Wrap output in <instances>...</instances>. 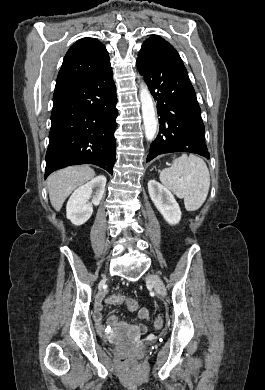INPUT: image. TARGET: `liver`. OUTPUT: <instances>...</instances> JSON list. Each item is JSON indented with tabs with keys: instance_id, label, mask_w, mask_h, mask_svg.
Here are the masks:
<instances>
[{
	"instance_id": "1",
	"label": "liver",
	"mask_w": 265,
	"mask_h": 390,
	"mask_svg": "<svg viewBox=\"0 0 265 390\" xmlns=\"http://www.w3.org/2000/svg\"><path fill=\"white\" fill-rule=\"evenodd\" d=\"M94 176V170L86 165L67 167L51 174L47 185L53 208L59 211L72 191L93 179Z\"/></svg>"
}]
</instances>
